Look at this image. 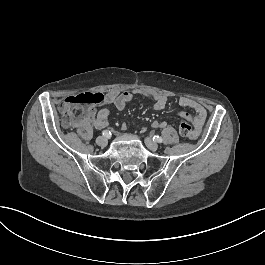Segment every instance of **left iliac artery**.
Instances as JSON below:
<instances>
[{"mask_svg":"<svg viewBox=\"0 0 265 265\" xmlns=\"http://www.w3.org/2000/svg\"><path fill=\"white\" fill-rule=\"evenodd\" d=\"M153 139H155V141H157V142H159V143H161V142H163V139H162V137H160V136H154V138Z\"/></svg>","mask_w":265,"mask_h":265,"instance_id":"1","label":"left iliac artery"}]
</instances>
